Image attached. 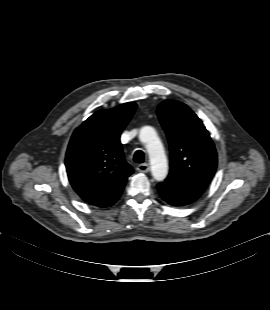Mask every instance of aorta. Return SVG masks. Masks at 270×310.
Masks as SVG:
<instances>
[{"mask_svg": "<svg viewBox=\"0 0 270 310\" xmlns=\"http://www.w3.org/2000/svg\"><path fill=\"white\" fill-rule=\"evenodd\" d=\"M139 138L146 144L152 176L157 181L164 180L168 174V163L163 145L155 129L151 126L143 127L140 130Z\"/></svg>", "mask_w": 270, "mask_h": 310, "instance_id": "762f6f07", "label": "aorta"}]
</instances>
